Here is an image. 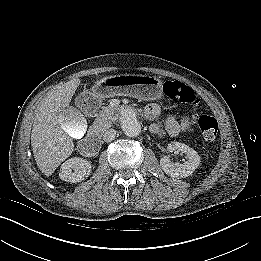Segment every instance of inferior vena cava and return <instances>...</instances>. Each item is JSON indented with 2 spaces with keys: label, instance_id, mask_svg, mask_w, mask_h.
Listing matches in <instances>:
<instances>
[{
  "label": "inferior vena cava",
  "instance_id": "obj_1",
  "mask_svg": "<svg viewBox=\"0 0 261 261\" xmlns=\"http://www.w3.org/2000/svg\"><path fill=\"white\" fill-rule=\"evenodd\" d=\"M116 137V130L114 129H109L107 130L104 135H103V140L105 142H111L112 140H114Z\"/></svg>",
  "mask_w": 261,
  "mask_h": 261
}]
</instances>
